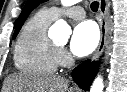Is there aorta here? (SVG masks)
I'll return each instance as SVG.
<instances>
[{
	"label": "aorta",
	"instance_id": "obj_1",
	"mask_svg": "<svg viewBox=\"0 0 127 92\" xmlns=\"http://www.w3.org/2000/svg\"><path fill=\"white\" fill-rule=\"evenodd\" d=\"M79 0H62L63 6H71L78 2ZM50 32L57 38L60 42H65L68 40L71 34V28L66 21L60 19L56 21L50 28ZM103 78L97 76L94 80L90 92H103Z\"/></svg>",
	"mask_w": 127,
	"mask_h": 92
}]
</instances>
